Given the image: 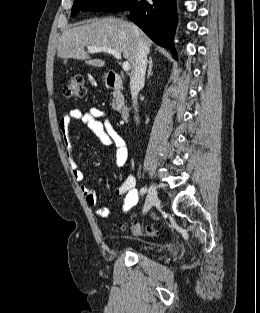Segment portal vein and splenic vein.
I'll use <instances>...</instances> for the list:
<instances>
[{
    "label": "portal vein and splenic vein",
    "instance_id": "18ae733b",
    "mask_svg": "<svg viewBox=\"0 0 260 313\" xmlns=\"http://www.w3.org/2000/svg\"><path fill=\"white\" fill-rule=\"evenodd\" d=\"M88 51L90 53H96V52H106L109 53L111 55H113L116 59L121 60L122 56L121 53L119 51H116L110 47H106V46H87ZM122 68L124 71H129L130 70V63L128 61H124L122 63Z\"/></svg>",
    "mask_w": 260,
    "mask_h": 313
}]
</instances>
